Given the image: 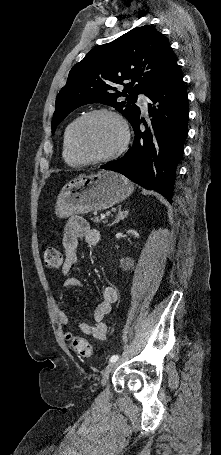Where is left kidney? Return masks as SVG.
<instances>
[{"mask_svg":"<svg viewBox=\"0 0 221 455\" xmlns=\"http://www.w3.org/2000/svg\"><path fill=\"white\" fill-rule=\"evenodd\" d=\"M130 261H131V260H130L129 258H125V259H122V260H121V264H122V265L128 264V263H130Z\"/></svg>","mask_w":221,"mask_h":455,"instance_id":"1","label":"left kidney"}]
</instances>
